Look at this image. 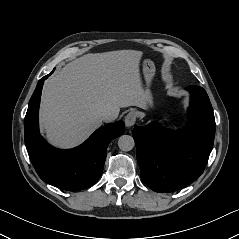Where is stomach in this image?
<instances>
[{
  "label": "stomach",
  "mask_w": 239,
  "mask_h": 239,
  "mask_svg": "<svg viewBox=\"0 0 239 239\" xmlns=\"http://www.w3.org/2000/svg\"><path fill=\"white\" fill-rule=\"evenodd\" d=\"M154 74H155L154 63L150 60H145L143 62V75L145 79L146 102L150 108H153V96L150 87Z\"/></svg>",
  "instance_id": "stomach-1"
}]
</instances>
